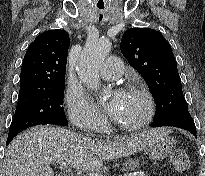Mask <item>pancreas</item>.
<instances>
[{"label": "pancreas", "mask_w": 205, "mask_h": 176, "mask_svg": "<svg viewBox=\"0 0 205 176\" xmlns=\"http://www.w3.org/2000/svg\"><path fill=\"white\" fill-rule=\"evenodd\" d=\"M124 176H139V175H134L132 173H129V174H125Z\"/></svg>", "instance_id": "pancreas-1"}]
</instances>
